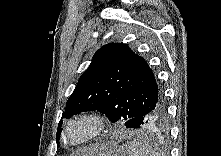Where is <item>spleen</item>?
I'll return each instance as SVG.
<instances>
[{
	"mask_svg": "<svg viewBox=\"0 0 221 156\" xmlns=\"http://www.w3.org/2000/svg\"><path fill=\"white\" fill-rule=\"evenodd\" d=\"M129 156H157L155 149L149 147L141 141H131L124 145Z\"/></svg>",
	"mask_w": 221,
	"mask_h": 156,
	"instance_id": "spleen-1",
	"label": "spleen"
}]
</instances>
